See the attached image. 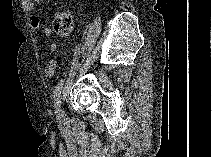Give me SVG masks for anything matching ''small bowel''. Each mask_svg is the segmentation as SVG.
Masks as SVG:
<instances>
[{
	"label": "small bowel",
	"instance_id": "small-bowel-1",
	"mask_svg": "<svg viewBox=\"0 0 212 157\" xmlns=\"http://www.w3.org/2000/svg\"><path fill=\"white\" fill-rule=\"evenodd\" d=\"M37 4H42V5H47L49 7L52 6L51 2H48L46 0H25L23 2V6L26 11L32 12ZM41 21L38 15H31L30 17V25L33 29H38L40 27ZM43 35L47 38H50L52 35V29L50 27H44L43 30ZM58 49V46L55 42H51L49 44V51L52 53H55ZM57 67V62L56 60L52 59L49 60L45 66V75L49 78L53 77L55 74V70Z\"/></svg>",
	"mask_w": 212,
	"mask_h": 157
}]
</instances>
